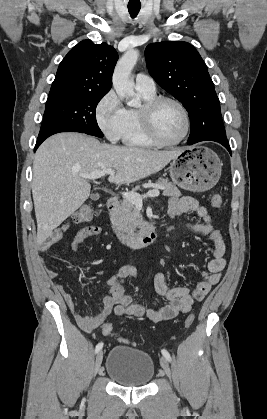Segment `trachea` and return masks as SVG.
<instances>
[{"label": "trachea", "mask_w": 267, "mask_h": 419, "mask_svg": "<svg viewBox=\"0 0 267 419\" xmlns=\"http://www.w3.org/2000/svg\"><path fill=\"white\" fill-rule=\"evenodd\" d=\"M140 8L141 6H134V7L128 6V11H129L130 16L132 18H135L139 13Z\"/></svg>", "instance_id": "trachea-1"}]
</instances>
